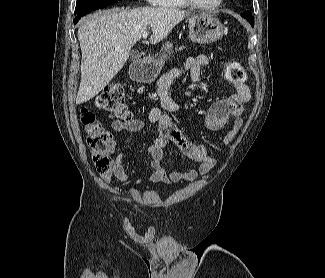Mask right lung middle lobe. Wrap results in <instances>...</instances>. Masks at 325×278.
I'll use <instances>...</instances> for the list:
<instances>
[{
  "mask_svg": "<svg viewBox=\"0 0 325 278\" xmlns=\"http://www.w3.org/2000/svg\"><path fill=\"white\" fill-rule=\"evenodd\" d=\"M118 0H77L75 15L87 14L93 10L103 8Z\"/></svg>",
  "mask_w": 325,
  "mask_h": 278,
  "instance_id": "obj_1",
  "label": "right lung middle lobe"
}]
</instances>
